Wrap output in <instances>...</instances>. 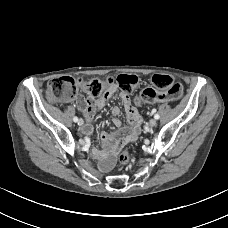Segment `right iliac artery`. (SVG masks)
I'll list each match as a JSON object with an SVG mask.
<instances>
[{
  "label": "right iliac artery",
  "instance_id": "1",
  "mask_svg": "<svg viewBox=\"0 0 228 228\" xmlns=\"http://www.w3.org/2000/svg\"><path fill=\"white\" fill-rule=\"evenodd\" d=\"M73 121H74V122H77V121H78V117H74V118H73Z\"/></svg>",
  "mask_w": 228,
  "mask_h": 228
}]
</instances>
